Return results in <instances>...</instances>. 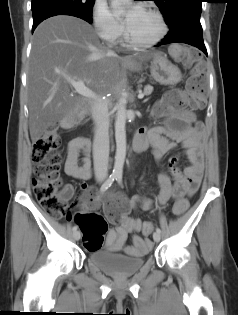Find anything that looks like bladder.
Returning a JSON list of instances; mask_svg holds the SVG:
<instances>
[{"label":"bladder","instance_id":"1","mask_svg":"<svg viewBox=\"0 0 238 315\" xmlns=\"http://www.w3.org/2000/svg\"><path fill=\"white\" fill-rule=\"evenodd\" d=\"M87 258L100 270L115 277L133 275L146 262L145 257H134L99 249H91Z\"/></svg>","mask_w":238,"mask_h":315}]
</instances>
